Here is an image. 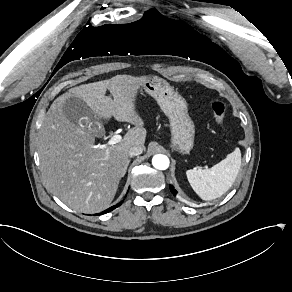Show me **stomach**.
<instances>
[{
	"label": "stomach",
	"instance_id": "obj_1",
	"mask_svg": "<svg viewBox=\"0 0 292 292\" xmlns=\"http://www.w3.org/2000/svg\"><path fill=\"white\" fill-rule=\"evenodd\" d=\"M168 117L171 130V147L183 154L193 148L194 123L188 115L186 100L173 91L168 82L157 76H147L142 85Z\"/></svg>",
	"mask_w": 292,
	"mask_h": 292
}]
</instances>
